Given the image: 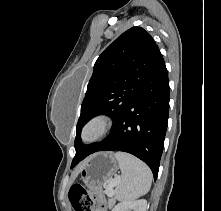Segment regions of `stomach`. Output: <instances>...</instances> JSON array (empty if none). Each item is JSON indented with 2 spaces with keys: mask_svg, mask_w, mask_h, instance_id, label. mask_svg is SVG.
I'll return each mask as SVG.
<instances>
[{
  "mask_svg": "<svg viewBox=\"0 0 221 211\" xmlns=\"http://www.w3.org/2000/svg\"><path fill=\"white\" fill-rule=\"evenodd\" d=\"M117 170L118 162L114 154L110 152H100L86 160L80 174L84 184L90 190H100Z\"/></svg>",
  "mask_w": 221,
  "mask_h": 211,
  "instance_id": "obj_1",
  "label": "stomach"
}]
</instances>
